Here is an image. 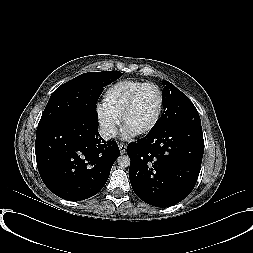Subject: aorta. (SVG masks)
Listing matches in <instances>:
<instances>
[{
	"instance_id": "obj_1",
	"label": "aorta",
	"mask_w": 253,
	"mask_h": 253,
	"mask_svg": "<svg viewBox=\"0 0 253 253\" xmlns=\"http://www.w3.org/2000/svg\"><path fill=\"white\" fill-rule=\"evenodd\" d=\"M130 157L128 155H121L117 158V163L119 165V167L121 168H126L128 166H130Z\"/></svg>"
}]
</instances>
